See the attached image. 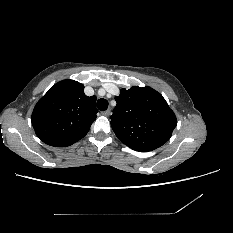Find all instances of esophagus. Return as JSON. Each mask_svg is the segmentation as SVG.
<instances>
[{
  "label": "esophagus",
  "instance_id": "esophagus-1",
  "mask_svg": "<svg viewBox=\"0 0 233 233\" xmlns=\"http://www.w3.org/2000/svg\"><path fill=\"white\" fill-rule=\"evenodd\" d=\"M102 114H103L104 116L109 117V116L111 115V110H110V109H107L106 111L102 112Z\"/></svg>",
  "mask_w": 233,
  "mask_h": 233
}]
</instances>
